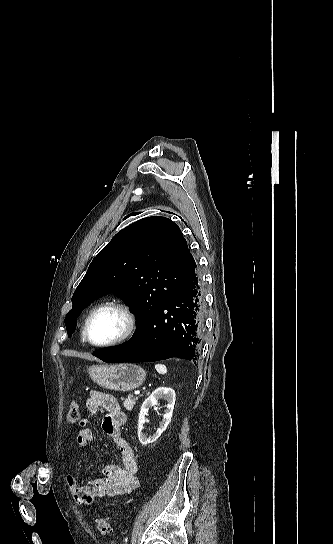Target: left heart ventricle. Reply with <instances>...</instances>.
I'll return each instance as SVG.
<instances>
[{
    "instance_id": "obj_1",
    "label": "left heart ventricle",
    "mask_w": 333,
    "mask_h": 544,
    "mask_svg": "<svg viewBox=\"0 0 333 544\" xmlns=\"http://www.w3.org/2000/svg\"><path fill=\"white\" fill-rule=\"evenodd\" d=\"M124 326L123 315L113 307H106L92 317L88 334L93 342H108L117 338L122 333Z\"/></svg>"
}]
</instances>
